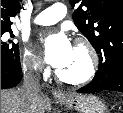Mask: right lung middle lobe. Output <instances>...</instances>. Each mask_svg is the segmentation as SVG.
<instances>
[{
    "label": "right lung middle lobe",
    "mask_w": 123,
    "mask_h": 113,
    "mask_svg": "<svg viewBox=\"0 0 123 113\" xmlns=\"http://www.w3.org/2000/svg\"><path fill=\"white\" fill-rule=\"evenodd\" d=\"M14 37L11 28L1 29V65L5 67L20 65L19 47L10 38Z\"/></svg>",
    "instance_id": "right-lung-middle-lobe-1"
}]
</instances>
